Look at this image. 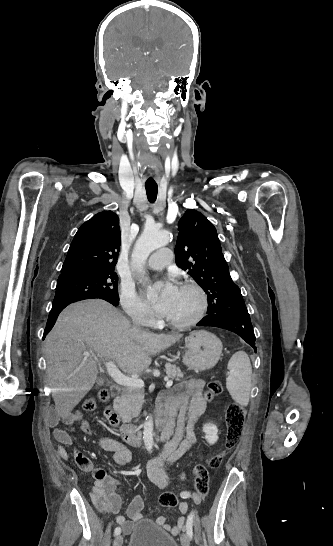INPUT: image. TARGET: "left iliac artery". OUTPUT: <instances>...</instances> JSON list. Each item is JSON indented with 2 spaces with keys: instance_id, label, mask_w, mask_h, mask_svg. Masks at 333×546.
<instances>
[{
  "instance_id": "left-iliac-artery-1",
  "label": "left iliac artery",
  "mask_w": 333,
  "mask_h": 546,
  "mask_svg": "<svg viewBox=\"0 0 333 546\" xmlns=\"http://www.w3.org/2000/svg\"><path fill=\"white\" fill-rule=\"evenodd\" d=\"M192 527H193V516H190L186 523V532L190 537L193 536Z\"/></svg>"
}]
</instances>
